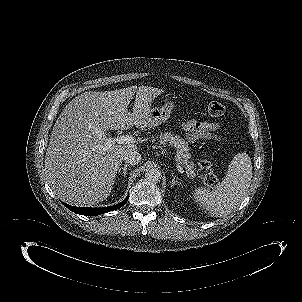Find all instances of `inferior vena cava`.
<instances>
[{
	"label": "inferior vena cava",
	"mask_w": 302,
	"mask_h": 302,
	"mask_svg": "<svg viewBox=\"0 0 302 302\" xmlns=\"http://www.w3.org/2000/svg\"><path fill=\"white\" fill-rule=\"evenodd\" d=\"M123 159L130 165H136L141 161V154L137 150H128L124 153Z\"/></svg>",
	"instance_id": "1"
}]
</instances>
